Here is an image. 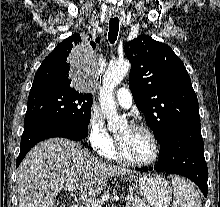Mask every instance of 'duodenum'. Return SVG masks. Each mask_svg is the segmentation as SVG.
Wrapping results in <instances>:
<instances>
[{"mask_svg": "<svg viewBox=\"0 0 220 207\" xmlns=\"http://www.w3.org/2000/svg\"><path fill=\"white\" fill-rule=\"evenodd\" d=\"M70 207H79V206H77V205H72V206H70Z\"/></svg>", "mask_w": 220, "mask_h": 207, "instance_id": "obj_1", "label": "duodenum"}]
</instances>
